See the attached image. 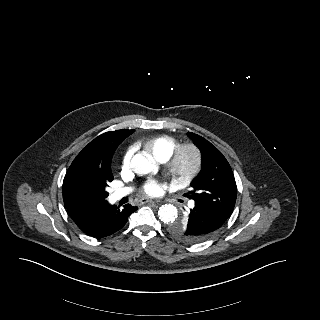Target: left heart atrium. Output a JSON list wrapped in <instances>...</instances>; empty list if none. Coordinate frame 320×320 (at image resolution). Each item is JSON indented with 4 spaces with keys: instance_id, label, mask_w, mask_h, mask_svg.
Here are the masks:
<instances>
[{
    "instance_id": "left-heart-atrium-1",
    "label": "left heart atrium",
    "mask_w": 320,
    "mask_h": 320,
    "mask_svg": "<svg viewBox=\"0 0 320 320\" xmlns=\"http://www.w3.org/2000/svg\"><path fill=\"white\" fill-rule=\"evenodd\" d=\"M143 192L149 196H157L161 192V185L156 181H148L143 185Z\"/></svg>"
}]
</instances>
